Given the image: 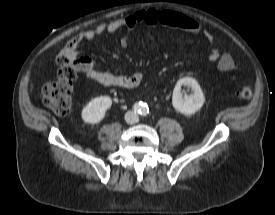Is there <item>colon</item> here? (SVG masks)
I'll return each mask as SVG.
<instances>
[{
  "label": "colon",
  "mask_w": 275,
  "mask_h": 215,
  "mask_svg": "<svg viewBox=\"0 0 275 215\" xmlns=\"http://www.w3.org/2000/svg\"><path fill=\"white\" fill-rule=\"evenodd\" d=\"M59 69L55 81L48 82L42 87V97L45 106L59 116L67 115L72 106V85L76 74L65 59H59ZM240 99H249L252 90L248 86H241L236 90Z\"/></svg>",
  "instance_id": "1"
}]
</instances>
